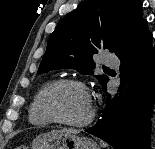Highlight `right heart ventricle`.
<instances>
[{
  "mask_svg": "<svg viewBox=\"0 0 155 149\" xmlns=\"http://www.w3.org/2000/svg\"><path fill=\"white\" fill-rule=\"evenodd\" d=\"M50 82L45 83L35 94L33 97L29 110H28V119L29 122L34 126H48L53 123L52 120H50L41 110L40 101H41V95L44 90V88L49 84Z\"/></svg>",
  "mask_w": 155,
  "mask_h": 149,
  "instance_id": "right-heart-ventricle-1",
  "label": "right heart ventricle"
}]
</instances>
